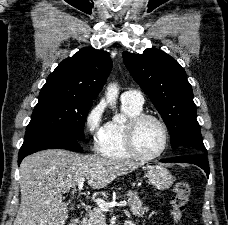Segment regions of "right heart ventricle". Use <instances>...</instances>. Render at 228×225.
Here are the masks:
<instances>
[{
    "instance_id": "obj_1",
    "label": "right heart ventricle",
    "mask_w": 228,
    "mask_h": 225,
    "mask_svg": "<svg viewBox=\"0 0 228 225\" xmlns=\"http://www.w3.org/2000/svg\"><path fill=\"white\" fill-rule=\"evenodd\" d=\"M122 110L126 116L125 122L112 121L108 123L107 130L97 145L100 154L109 158H133L126 143V125L129 119L143 112L142 107L122 103Z\"/></svg>"
}]
</instances>
